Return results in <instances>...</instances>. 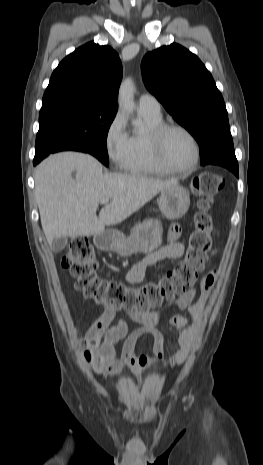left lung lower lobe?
Wrapping results in <instances>:
<instances>
[{"instance_id":"0a47b994","label":"left lung lower lobe","mask_w":263,"mask_h":465,"mask_svg":"<svg viewBox=\"0 0 263 465\" xmlns=\"http://www.w3.org/2000/svg\"><path fill=\"white\" fill-rule=\"evenodd\" d=\"M202 165L206 164H216V165H221L230 171H232L236 177H238V162L235 157L233 156H227V157H216V158H210V159H205L202 162Z\"/></svg>"}]
</instances>
